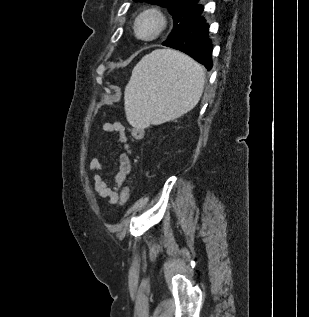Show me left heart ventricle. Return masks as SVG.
<instances>
[{
  "label": "left heart ventricle",
  "mask_w": 309,
  "mask_h": 317,
  "mask_svg": "<svg viewBox=\"0 0 309 317\" xmlns=\"http://www.w3.org/2000/svg\"><path fill=\"white\" fill-rule=\"evenodd\" d=\"M153 28V23L151 21H146L141 26V32L143 34H148Z\"/></svg>",
  "instance_id": "1"
}]
</instances>
